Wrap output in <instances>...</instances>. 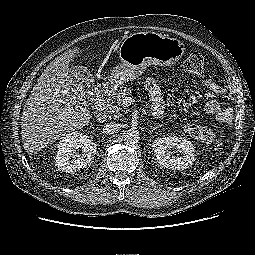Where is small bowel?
<instances>
[{
	"mask_svg": "<svg viewBox=\"0 0 255 255\" xmlns=\"http://www.w3.org/2000/svg\"><path fill=\"white\" fill-rule=\"evenodd\" d=\"M203 84L206 88H208L212 92L218 93L220 90L219 85L211 79H204ZM145 88L151 100V106L154 116L161 117L164 113L165 102L161 96L160 88L157 81L153 78H148L145 82ZM212 102L213 101H210L207 104V109L210 111L218 110L219 109L218 104L210 106Z\"/></svg>",
	"mask_w": 255,
	"mask_h": 255,
	"instance_id": "obj_1",
	"label": "small bowel"
}]
</instances>
